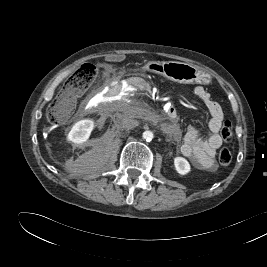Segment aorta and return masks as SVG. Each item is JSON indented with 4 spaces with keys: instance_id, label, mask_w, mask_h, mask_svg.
<instances>
[{
    "instance_id": "aorta-1",
    "label": "aorta",
    "mask_w": 267,
    "mask_h": 267,
    "mask_svg": "<svg viewBox=\"0 0 267 267\" xmlns=\"http://www.w3.org/2000/svg\"><path fill=\"white\" fill-rule=\"evenodd\" d=\"M142 137H143V139H145L147 142H150L152 139H153V137H154V135H153V132L152 131H144L143 132V135H142Z\"/></svg>"
}]
</instances>
